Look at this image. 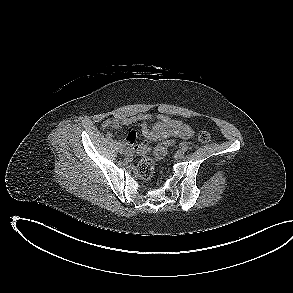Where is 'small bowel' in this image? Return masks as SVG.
<instances>
[{"label":"small bowel","mask_w":293,"mask_h":293,"mask_svg":"<svg viewBox=\"0 0 293 293\" xmlns=\"http://www.w3.org/2000/svg\"><path fill=\"white\" fill-rule=\"evenodd\" d=\"M151 121L155 122L151 125ZM132 123L141 126L142 134L145 137L143 143H138L136 133L134 131L128 133L125 142L135 150L143 149L148 143L153 141H161L165 138H170L171 140L176 138L187 139L194 135L193 129L188 124L161 114L153 115L147 113L139 114L132 118L106 119L102 123V127L104 129L119 128L121 126L131 125Z\"/></svg>","instance_id":"c3829d8e"}]
</instances>
